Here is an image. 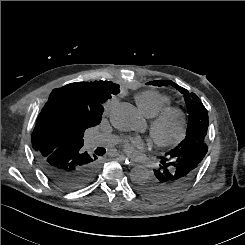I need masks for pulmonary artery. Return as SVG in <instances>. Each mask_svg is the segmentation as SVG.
I'll return each instance as SVG.
<instances>
[{
  "label": "pulmonary artery",
  "mask_w": 245,
  "mask_h": 245,
  "mask_svg": "<svg viewBox=\"0 0 245 245\" xmlns=\"http://www.w3.org/2000/svg\"><path fill=\"white\" fill-rule=\"evenodd\" d=\"M117 141L118 138L116 136L96 133L88 138L87 143L89 147L94 148L98 146H102V147L112 146L116 144Z\"/></svg>",
  "instance_id": "1"
}]
</instances>
